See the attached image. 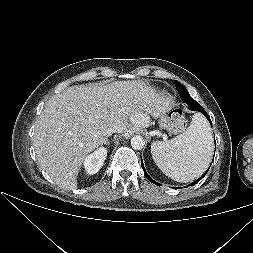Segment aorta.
Here are the masks:
<instances>
[{
	"label": "aorta",
	"instance_id": "aorta-1",
	"mask_svg": "<svg viewBox=\"0 0 253 253\" xmlns=\"http://www.w3.org/2000/svg\"><path fill=\"white\" fill-rule=\"evenodd\" d=\"M131 146L133 149L141 150L145 146V140L142 136H134L131 138Z\"/></svg>",
	"mask_w": 253,
	"mask_h": 253
}]
</instances>
